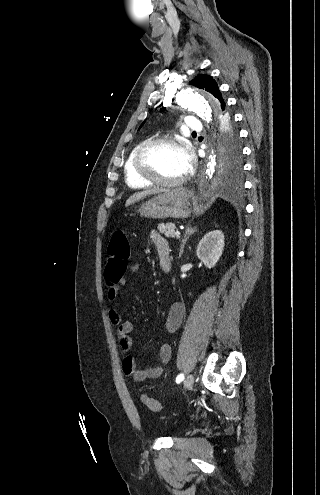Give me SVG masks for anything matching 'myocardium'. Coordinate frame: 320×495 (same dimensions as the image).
Returning <instances> with one entry per match:
<instances>
[{
	"label": "myocardium",
	"mask_w": 320,
	"mask_h": 495,
	"mask_svg": "<svg viewBox=\"0 0 320 495\" xmlns=\"http://www.w3.org/2000/svg\"><path fill=\"white\" fill-rule=\"evenodd\" d=\"M163 144H171L180 147L186 155H190V147L186 143L185 140L174 137V136H161L154 139H150L145 141L136 152L134 157V170L138 177L154 184L160 186H177L182 184L188 177L189 170L179 179L176 180H168L163 179L155 175L147 165L146 156L148 153L155 147L163 145Z\"/></svg>",
	"instance_id": "1"
}]
</instances>
